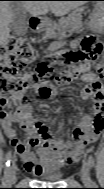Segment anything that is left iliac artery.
Here are the masks:
<instances>
[{
    "label": "left iliac artery",
    "instance_id": "obj_1",
    "mask_svg": "<svg viewBox=\"0 0 104 189\" xmlns=\"http://www.w3.org/2000/svg\"><path fill=\"white\" fill-rule=\"evenodd\" d=\"M94 164H95L94 158L92 156H89V158H88V165L90 166V168H93ZM91 185L95 186L96 183L92 181Z\"/></svg>",
    "mask_w": 104,
    "mask_h": 189
}]
</instances>
